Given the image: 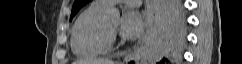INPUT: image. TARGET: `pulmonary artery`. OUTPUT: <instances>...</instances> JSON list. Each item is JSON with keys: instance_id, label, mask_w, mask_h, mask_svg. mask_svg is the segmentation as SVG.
Listing matches in <instances>:
<instances>
[{"instance_id": "1", "label": "pulmonary artery", "mask_w": 242, "mask_h": 64, "mask_svg": "<svg viewBox=\"0 0 242 64\" xmlns=\"http://www.w3.org/2000/svg\"><path fill=\"white\" fill-rule=\"evenodd\" d=\"M120 2L126 3L130 6H139L141 4L140 0H97L94 3L107 8L115 3Z\"/></svg>"}]
</instances>
